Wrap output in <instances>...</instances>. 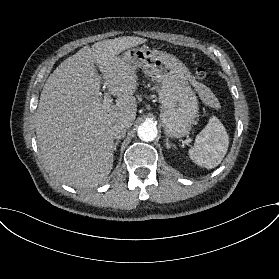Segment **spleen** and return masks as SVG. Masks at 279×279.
Returning a JSON list of instances; mask_svg holds the SVG:
<instances>
[{"mask_svg": "<svg viewBox=\"0 0 279 279\" xmlns=\"http://www.w3.org/2000/svg\"><path fill=\"white\" fill-rule=\"evenodd\" d=\"M200 97L206 105L215 109L220 108L218 99L209 88L203 87ZM228 146L229 136L226 129L214 116L196 136L194 146L189 149V156L197 165L212 169L221 163L227 153Z\"/></svg>", "mask_w": 279, "mask_h": 279, "instance_id": "1", "label": "spleen"}]
</instances>
